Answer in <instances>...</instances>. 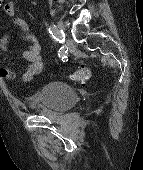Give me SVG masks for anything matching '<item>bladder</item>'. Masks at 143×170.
<instances>
[{
    "label": "bladder",
    "mask_w": 143,
    "mask_h": 170,
    "mask_svg": "<svg viewBox=\"0 0 143 170\" xmlns=\"http://www.w3.org/2000/svg\"><path fill=\"white\" fill-rule=\"evenodd\" d=\"M77 102L74 88L60 82H50L42 86L34 99V108L40 113H64Z\"/></svg>",
    "instance_id": "bladder-1"
}]
</instances>
